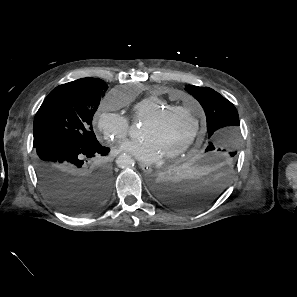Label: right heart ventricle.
I'll list each match as a JSON object with an SVG mask.
<instances>
[{"label":"right heart ventricle","instance_id":"1","mask_svg":"<svg viewBox=\"0 0 297 297\" xmlns=\"http://www.w3.org/2000/svg\"><path fill=\"white\" fill-rule=\"evenodd\" d=\"M170 106L172 105L162 97L148 96L134 104L132 108V116L133 119L137 121L145 122L149 117Z\"/></svg>","mask_w":297,"mask_h":297}]
</instances>
